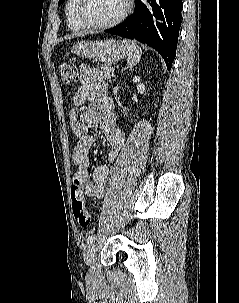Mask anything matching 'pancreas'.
<instances>
[{
	"mask_svg": "<svg viewBox=\"0 0 239 303\" xmlns=\"http://www.w3.org/2000/svg\"><path fill=\"white\" fill-rule=\"evenodd\" d=\"M101 71H100V77L104 79H110L111 77H114V72H111L110 69L111 67L108 65H100L99 66Z\"/></svg>",
	"mask_w": 239,
	"mask_h": 303,
	"instance_id": "cf45deb5",
	"label": "pancreas"
}]
</instances>
